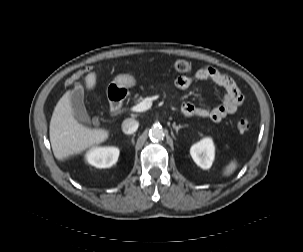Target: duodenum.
I'll return each mask as SVG.
<instances>
[{"label":"duodenum","instance_id":"1","mask_svg":"<svg viewBox=\"0 0 303 252\" xmlns=\"http://www.w3.org/2000/svg\"><path fill=\"white\" fill-rule=\"evenodd\" d=\"M125 89L122 87H116L114 90H112L110 94V113L111 114H116L119 112L121 108L122 101L125 97Z\"/></svg>","mask_w":303,"mask_h":252}]
</instances>
